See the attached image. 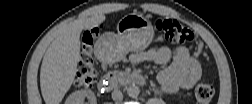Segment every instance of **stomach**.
<instances>
[{
  "mask_svg": "<svg viewBox=\"0 0 252 104\" xmlns=\"http://www.w3.org/2000/svg\"><path fill=\"white\" fill-rule=\"evenodd\" d=\"M154 36L151 22L138 14H128L117 23V34L107 32L97 41L96 50L106 62L122 60L129 52L146 49Z\"/></svg>",
  "mask_w": 252,
  "mask_h": 104,
  "instance_id": "obj_1",
  "label": "stomach"
}]
</instances>
